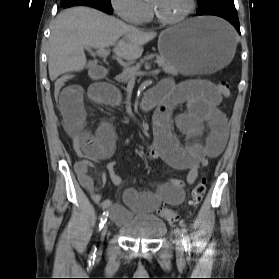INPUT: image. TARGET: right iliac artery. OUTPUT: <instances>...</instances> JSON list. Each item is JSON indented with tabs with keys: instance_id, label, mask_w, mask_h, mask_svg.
I'll return each mask as SVG.
<instances>
[{
	"instance_id": "obj_1",
	"label": "right iliac artery",
	"mask_w": 279,
	"mask_h": 279,
	"mask_svg": "<svg viewBox=\"0 0 279 279\" xmlns=\"http://www.w3.org/2000/svg\"><path fill=\"white\" fill-rule=\"evenodd\" d=\"M107 217H108V212H103L102 216H101V219H100V224H99V229L101 230L104 226V224L106 223L107 221ZM96 252V248H93V251H92V254L94 255Z\"/></svg>"
}]
</instances>
